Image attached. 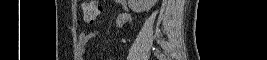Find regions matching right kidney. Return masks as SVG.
I'll list each match as a JSON object with an SVG mask.
<instances>
[{"label":"right kidney","mask_w":267,"mask_h":60,"mask_svg":"<svg viewBox=\"0 0 267 60\" xmlns=\"http://www.w3.org/2000/svg\"><path fill=\"white\" fill-rule=\"evenodd\" d=\"M157 0H128L129 8L136 13L149 11Z\"/></svg>","instance_id":"1"}]
</instances>
